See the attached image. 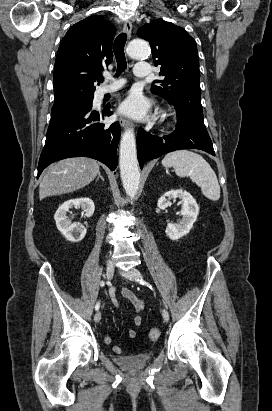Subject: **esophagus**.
Returning <instances> with one entry per match:
<instances>
[{"mask_svg":"<svg viewBox=\"0 0 272 411\" xmlns=\"http://www.w3.org/2000/svg\"><path fill=\"white\" fill-rule=\"evenodd\" d=\"M123 29H124V32L128 35V37H130L131 32H132V22L130 20L126 21L124 23ZM119 123H120L121 127H123V128H126L130 125L129 121L127 119L123 118V117L119 118Z\"/></svg>","mask_w":272,"mask_h":411,"instance_id":"34e87169","label":"esophagus"}]
</instances>
